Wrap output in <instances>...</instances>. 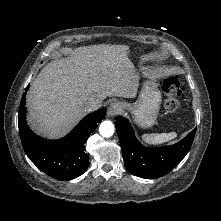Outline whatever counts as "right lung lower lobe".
<instances>
[{"instance_id": "right-lung-lower-lobe-1", "label": "right lung lower lobe", "mask_w": 221, "mask_h": 221, "mask_svg": "<svg viewBox=\"0 0 221 221\" xmlns=\"http://www.w3.org/2000/svg\"><path fill=\"white\" fill-rule=\"evenodd\" d=\"M25 102L26 91L20 103L18 124L22 146L29 159L41 171L58 180H70L82 175L89 166L85 143L105 118L106 110L100 109L87 115L62 139L47 140L34 134L27 125Z\"/></svg>"}]
</instances>
